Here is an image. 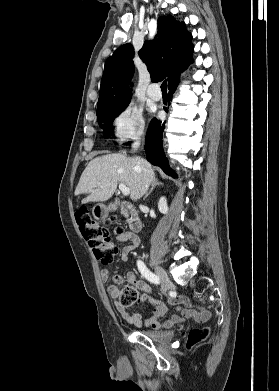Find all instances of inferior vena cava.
<instances>
[{"mask_svg": "<svg viewBox=\"0 0 279 391\" xmlns=\"http://www.w3.org/2000/svg\"><path fill=\"white\" fill-rule=\"evenodd\" d=\"M142 135V132L139 134V136L136 138V141L134 142V144H133V148L134 149H136V148H138L139 147V145H140V136Z\"/></svg>", "mask_w": 279, "mask_h": 391, "instance_id": "602c4592", "label": "inferior vena cava"}]
</instances>
